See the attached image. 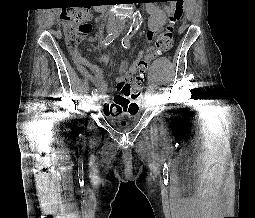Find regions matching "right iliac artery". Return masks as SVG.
I'll list each match as a JSON object with an SVG mask.
<instances>
[{"instance_id":"right-iliac-artery-1","label":"right iliac artery","mask_w":255,"mask_h":218,"mask_svg":"<svg viewBox=\"0 0 255 218\" xmlns=\"http://www.w3.org/2000/svg\"><path fill=\"white\" fill-rule=\"evenodd\" d=\"M115 34H109V35H107L106 36V38L104 39V41H103V45L106 47V46H108V45H110L112 42H113V40L115 39ZM95 94H97V89L96 88H94L93 90H92V95L94 96Z\"/></svg>"}]
</instances>
